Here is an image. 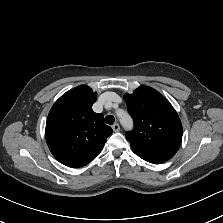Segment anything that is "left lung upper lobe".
<instances>
[{
	"label": "left lung upper lobe",
	"mask_w": 223,
	"mask_h": 223,
	"mask_svg": "<svg viewBox=\"0 0 223 223\" xmlns=\"http://www.w3.org/2000/svg\"><path fill=\"white\" fill-rule=\"evenodd\" d=\"M124 100L134 120V129L126 133L134 153L151 163L172 158L181 145L182 125L170 102L144 85Z\"/></svg>",
	"instance_id": "1"
}]
</instances>
